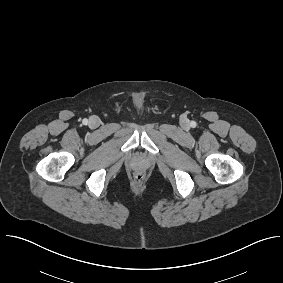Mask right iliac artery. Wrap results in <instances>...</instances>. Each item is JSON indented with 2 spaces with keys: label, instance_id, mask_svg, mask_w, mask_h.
I'll return each instance as SVG.
<instances>
[{
  "label": "right iliac artery",
  "instance_id": "1",
  "mask_svg": "<svg viewBox=\"0 0 283 283\" xmlns=\"http://www.w3.org/2000/svg\"><path fill=\"white\" fill-rule=\"evenodd\" d=\"M87 123H88V120L85 118V119H83V124L84 125H87Z\"/></svg>",
  "mask_w": 283,
  "mask_h": 283
}]
</instances>
